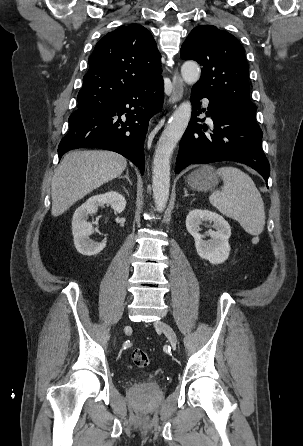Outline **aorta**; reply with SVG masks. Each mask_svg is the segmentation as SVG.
Masks as SVG:
<instances>
[{
	"label": "aorta",
	"instance_id": "aorta-1",
	"mask_svg": "<svg viewBox=\"0 0 303 446\" xmlns=\"http://www.w3.org/2000/svg\"><path fill=\"white\" fill-rule=\"evenodd\" d=\"M181 75L187 84L193 85L200 78V68L195 62L187 61L181 67ZM191 113V103H181L172 114L157 142L152 168V188L158 211L163 210L167 204L170 187V159L188 126Z\"/></svg>",
	"mask_w": 303,
	"mask_h": 446
}]
</instances>
